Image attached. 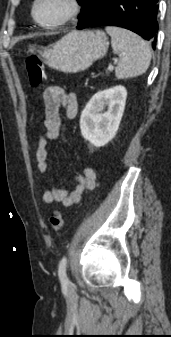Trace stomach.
I'll return each instance as SVG.
<instances>
[{"label": "stomach", "mask_w": 171, "mask_h": 337, "mask_svg": "<svg viewBox=\"0 0 171 337\" xmlns=\"http://www.w3.org/2000/svg\"><path fill=\"white\" fill-rule=\"evenodd\" d=\"M108 37L103 31H72L48 47L30 45L49 67L65 73H77L107 53Z\"/></svg>", "instance_id": "obj_1"}]
</instances>
